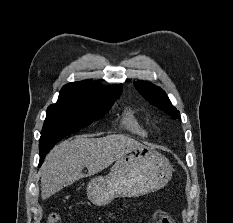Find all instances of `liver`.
<instances>
[{
    "instance_id": "6515ba94",
    "label": "liver",
    "mask_w": 233,
    "mask_h": 223,
    "mask_svg": "<svg viewBox=\"0 0 233 223\" xmlns=\"http://www.w3.org/2000/svg\"><path fill=\"white\" fill-rule=\"evenodd\" d=\"M136 145H140L139 141L119 133L106 137L77 135L75 139L61 141L46 155L39 169L42 199L85 175L99 173ZM84 167L87 173H82Z\"/></svg>"
}]
</instances>
